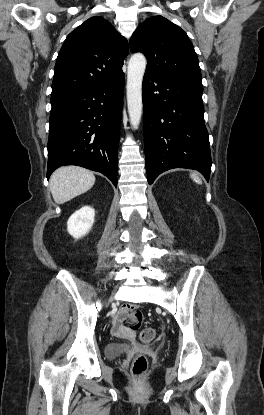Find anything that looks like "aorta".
<instances>
[{"label":"aorta","mask_w":264,"mask_h":415,"mask_svg":"<svg viewBox=\"0 0 264 415\" xmlns=\"http://www.w3.org/2000/svg\"><path fill=\"white\" fill-rule=\"evenodd\" d=\"M146 58L141 53L131 56L127 70V105L130 123L136 129L142 115V80L146 69Z\"/></svg>","instance_id":"762f6f07"}]
</instances>
